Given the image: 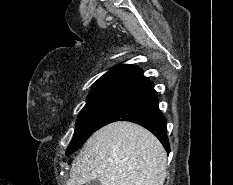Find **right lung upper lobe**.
I'll use <instances>...</instances> for the list:
<instances>
[{
  "mask_svg": "<svg viewBox=\"0 0 233 185\" xmlns=\"http://www.w3.org/2000/svg\"><path fill=\"white\" fill-rule=\"evenodd\" d=\"M147 81L149 79L143 76L142 70L138 67L119 65L101 76L93 85L92 92L110 89L131 91Z\"/></svg>",
  "mask_w": 233,
  "mask_h": 185,
  "instance_id": "right-lung-upper-lobe-1",
  "label": "right lung upper lobe"
}]
</instances>
